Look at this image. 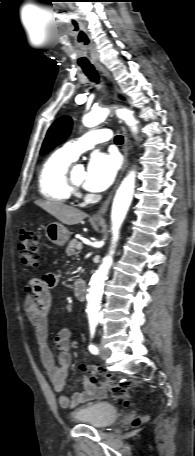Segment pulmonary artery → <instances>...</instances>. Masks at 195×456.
<instances>
[{"label":"pulmonary artery","mask_w":195,"mask_h":456,"mask_svg":"<svg viewBox=\"0 0 195 456\" xmlns=\"http://www.w3.org/2000/svg\"><path fill=\"white\" fill-rule=\"evenodd\" d=\"M111 138L108 129L92 130L77 140L67 142L61 150L71 159L76 160L81 153L93 148L96 144L106 142Z\"/></svg>","instance_id":"obj_1"}]
</instances>
